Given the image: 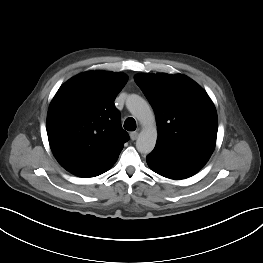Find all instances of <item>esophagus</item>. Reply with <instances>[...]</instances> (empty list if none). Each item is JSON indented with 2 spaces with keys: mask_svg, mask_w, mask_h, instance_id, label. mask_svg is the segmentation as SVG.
Listing matches in <instances>:
<instances>
[{
  "mask_svg": "<svg viewBox=\"0 0 263 263\" xmlns=\"http://www.w3.org/2000/svg\"><path fill=\"white\" fill-rule=\"evenodd\" d=\"M131 140H136L138 138V132H131L130 133Z\"/></svg>",
  "mask_w": 263,
  "mask_h": 263,
  "instance_id": "1",
  "label": "esophagus"
}]
</instances>
